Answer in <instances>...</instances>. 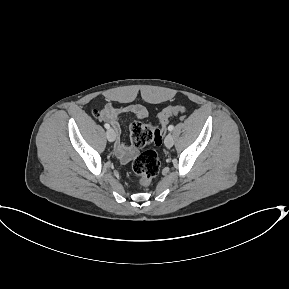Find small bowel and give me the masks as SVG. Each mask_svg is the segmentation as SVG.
<instances>
[{"mask_svg": "<svg viewBox=\"0 0 289 289\" xmlns=\"http://www.w3.org/2000/svg\"><path fill=\"white\" fill-rule=\"evenodd\" d=\"M125 114L133 115L139 119L148 116V110L141 104H131L123 108H115L111 103L107 104L99 114L101 120L109 122L116 134L119 136L122 131L121 116ZM115 153L122 163H128L138 153L133 146H126L120 139H117L114 147Z\"/></svg>", "mask_w": 289, "mask_h": 289, "instance_id": "small-bowel-1", "label": "small bowel"}]
</instances>
